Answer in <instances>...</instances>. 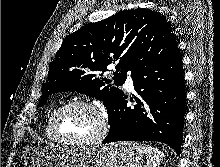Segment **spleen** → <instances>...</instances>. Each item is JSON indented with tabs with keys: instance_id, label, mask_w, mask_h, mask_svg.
Returning <instances> with one entry per match:
<instances>
[{
	"instance_id": "spleen-1",
	"label": "spleen",
	"mask_w": 220,
	"mask_h": 167,
	"mask_svg": "<svg viewBox=\"0 0 220 167\" xmlns=\"http://www.w3.org/2000/svg\"><path fill=\"white\" fill-rule=\"evenodd\" d=\"M139 147L146 154V167H158L164 153L146 144H141Z\"/></svg>"
}]
</instances>
